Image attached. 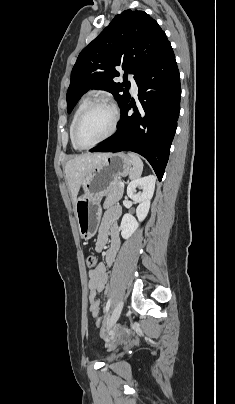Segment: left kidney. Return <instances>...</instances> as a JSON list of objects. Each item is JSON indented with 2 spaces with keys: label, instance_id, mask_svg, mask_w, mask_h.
I'll list each match as a JSON object with an SVG mask.
<instances>
[{
  "label": "left kidney",
  "instance_id": "left-kidney-1",
  "mask_svg": "<svg viewBox=\"0 0 235 404\" xmlns=\"http://www.w3.org/2000/svg\"><path fill=\"white\" fill-rule=\"evenodd\" d=\"M156 177L148 175L146 177L137 178L131 181L127 187V195L135 203H139L136 209V216L138 221L131 214H125L122 218L120 229L121 236L124 239H129L132 234L139 227V222H142L150 208V201L154 194ZM137 189H141L142 192L137 193Z\"/></svg>",
  "mask_w": 235,
  "mask_h": 404
}]
</instances>
